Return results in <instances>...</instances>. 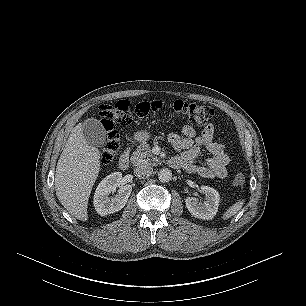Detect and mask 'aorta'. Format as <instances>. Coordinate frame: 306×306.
Listing matches in <instances>:
<instances>
[{"mask_svg": "<svg viewBox=\"0 0 306 306\" xmlns=\"http://www.w3.org/2000/svg\"><path fill=\"white\" fill-rule=\"evenodd\" d=\"M172 178V172L171 170L165 168V169H161L158 173V179L161 182H169Z\"/></svg>", "mask_w": 306, "mask_h": 306, "instance_id": "aorta-1", "label": "aorta"}]
</instances>
